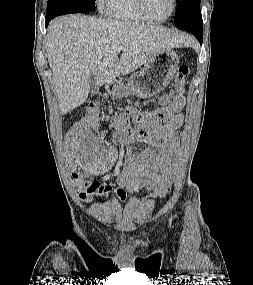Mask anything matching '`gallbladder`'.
<instances>
[{"mask_svg":"<svg viewBox=\"0 0 253 285\" xmlns=\"http://www.w3.org/2000/svg\"><path fill=\"white\" fill-rule=\"evenodd\" d=\"M98 90H99V87H98V85H97V82H96V80H95V77H94L93 74H91V75L89 76V92H90L91 94H95V93L98 92Z\"/></svg>","mask_w":253,"mask_h":285,"instance_id":"1","label":"gallbladder"}]
</instances>
